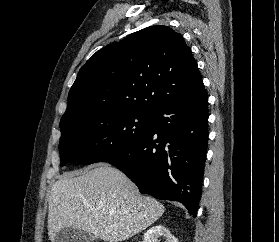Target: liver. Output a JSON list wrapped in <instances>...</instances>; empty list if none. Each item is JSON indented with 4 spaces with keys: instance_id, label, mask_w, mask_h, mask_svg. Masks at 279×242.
I'll return each mask as SVG.
<instances>
[{
    "instance_id": "liver-1",
    "label": "liver",
    "mask_w": 279,
    "mask_h": 242,
    "mask_svg": "<svg viewBox=\"0 0 279 242\" xmlns=\"http://www.w3.org/2000/svg\"><path fill=\"white\" fill-rule=\"evenodd\" d=\"M164 205L140 194L118 169L98 164L63 174L50 191L48 236L65 228L88 231L105 242L125 241L154 223ZM115 225H117L115 227Z\"/></svg>"
}]
</instances>
